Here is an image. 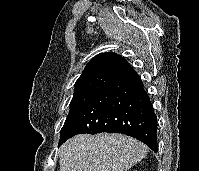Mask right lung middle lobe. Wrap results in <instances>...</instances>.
<instances>
[{"label":"right lung middle lobe","mask_w":199,"mask_h":171,"mask_svg":"<svg viewBox=\"0 0 199 171\" xmlns=\"http://www.w3.org/2000/svg\"><path fill=\"white\" fill-rule=\"evenodd\" d=\"M113 77L114 76L110 75H98L75 86L74 96L70 102V112L61 129L60 139L65 135L66 130L80 110L89 102L95 93L111 81Z\"/></svg>","instance_id":"obj_1"}]
</instances>
